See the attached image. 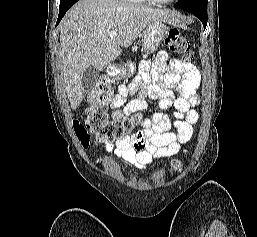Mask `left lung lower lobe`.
Masks as SVG:
<instances>
[{
  "label": "left lung lower lobe",
  "instance_id": "0a47b994",
  "mask_svg": "<svg viewBox=\"0 0 257 237\" xmlns=\"http://www.w3.org/2000/svg\"><path fill=\"white\" fill-rule=\"evenodd\" d=\"M176 7H178L176 5ZM182 10L188 11L198 17L201 22L203 23L204 29L207 25V7H199V6H186V7H179Z\"/></svg>",
  "mask_w": 257,
  "mask_h": 237
}]
</instances>
